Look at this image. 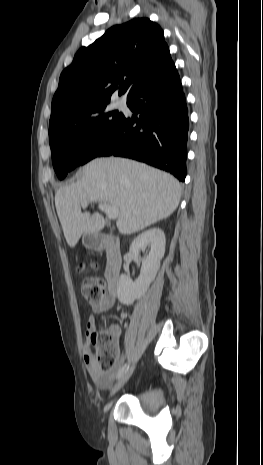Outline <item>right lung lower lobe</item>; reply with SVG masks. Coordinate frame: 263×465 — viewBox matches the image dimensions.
I'll return each instance as SVG.
<instances>
[{"mask_svg":"<svg viewBox=\"0 0 263 465\" xmlns=\"http://www.w3.org/2000/svg\"><path fill=\"white\" fill-rule=\"evenodd\" d=\"M127 105L139 118L124 116L98 156L143 161L184 181L189 117L175 65L135 91Z\"/></svg>","mask_w":263,"mask_h":465,"instance_id":"obj_1","label":"right lung lower lobe"}]
</instances>
